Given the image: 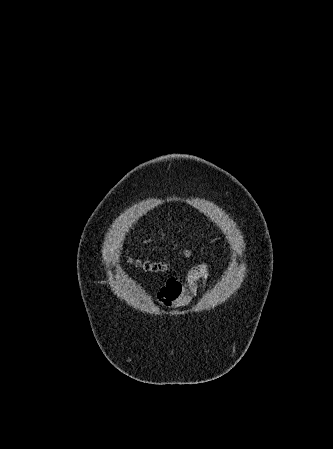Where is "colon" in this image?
I'll return each instance as SVG.
<instances>
[{
	"label": "colon",
	"instance_id": "obj_1",
	"mask_svg": "<svg viewBox=\"0 0 333 449\" xmlns=\"http://www.w3.org/2000/svg\"><path fill=\"white\" fill-rule=\"evenodd\" d=\"M188 254V252H186ZM135 263L142 267L145 271L149 272H160L165 270L166 265L163 262H154V261H140L136 260Z\"/></svg>",
	"mask_w": 333,
	"mask_h": 449
}]
</instances>
